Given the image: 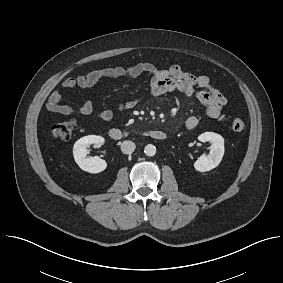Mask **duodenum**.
I'll return each instance as SVG.
<instances>
[{
	"label": "duodenum",
	"mask_w": 283,
	"mask_h": 283,
	"mask_svg": "<svg viewBox=\"0 0 283 283\" xmlns=\"http://www.w3.org/2000/svg\"><path fill=\"white\" fill-rule=\"evenodd\" d=\"M129 135H130L129 131L121 130V129H117V128L111 129L110 132H109V136L113 140H121V139L127 138ZM148 135L151 138H153L155 140H159V141L164 140L167 137L166 132H164L162 130L150 131V132H148Z\"/></svg>",
	"instance_id": "410a0bca"
}]
</instances>
